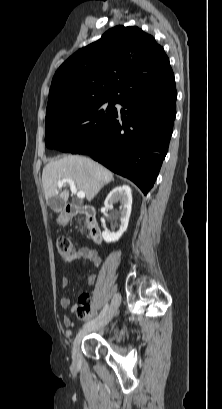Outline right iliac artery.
I'll return each instance as SVG.
<instances>
[{"instance_id":"82829eb1","label":"right iliac artery","mask_w":222,"mask_h":409,"mask_svg":"<svg viewBox=\"0 0 222 409\" xmlns=\"http://www.w3.org/2000/svg\"><path fill=\"white\" fill-rule=\"evenodd\" d=\"M107 310H108V304H106V305L104 306L103 310L101 311V313H100L96 318H94V319L89 320L88 322H86V323L83 325V328L90 327V326L94 325L96 322H98L99 320H101V318L106 314Z\"/></svg>"}]
</instances>
